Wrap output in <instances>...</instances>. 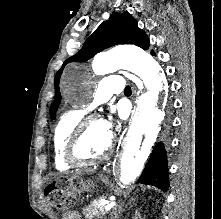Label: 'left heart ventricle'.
<instances>
[{
	"label": "left heart ventricle",
	"instance_id": "b2bd125f",
	"mask_svg": "<svg viewBox=\"0 0 221 219\" xmlns=\"http://www.w3.org/2000/svg\"><path fill=\"white\" fill-rule=\"evenodd\" d=\"M110 133L103 127L102 122H91L80 141L78 155L80 158L89 160L101 155L109 144Z\"/></svg>",
	"mask_w": 221,
	"mask_h": 219
}]
</instances>
